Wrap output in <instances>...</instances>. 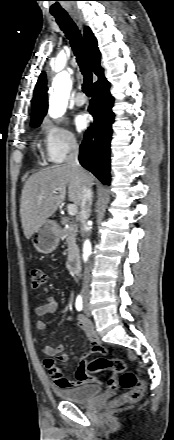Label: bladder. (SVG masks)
<instances>
[{"label":"bladder","instance_id":"31cf9c89","mask_svg":"<svg viewBox=\"0 0 174 440\" xmlns=\"http://www.w3.org/2000/svg\"><path fill=\"white\" fill-rule=\"evenodd\" d=\"M101 388L97 385H82L72 389H57L56 395L64 401L85 403L98 396Z\"/></svg>","mask_w":174,"mask_h":440}]
</instances>
